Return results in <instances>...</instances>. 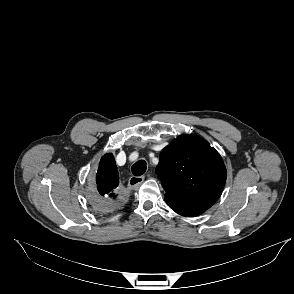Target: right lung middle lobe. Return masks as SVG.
Segmentation results:
<instances>
[{
    "label": "right lung middle lobe",
    "mask_w": 294,
    "mask_h": 294,
    "mask_svg": "<svg viewBox=\"0 0 294 294\" xmlns=\"http://www.w3.org/2000/svg\"><path fill=\"white\" fill-rule=\"evenodd\" d=\"M89 200L95 209L96 212L99 213H107L112 211L116 206L117 202L110 201L108 199H102L97 192L92 193L89 196Z\"/></svg>",
    "instance_id": "dd1d6c3e"
}]
</instances>
